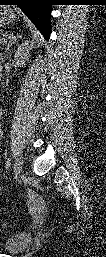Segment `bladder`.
<instances>
[{"label": "bladder", "mask_w": 106, "mask_h": 257, "mask_svg": "<svg viewBox=\"0 0 106 257\" xmlns=\"http://www.w3.org/2000/svg\"><path fill=\"white\" fill-rule=\"evenodd\" d=\"M31 242L32 235L30 233H18L6 240L4 248L10 254H19L23 252Z\"/></svg>", "instance_id": "obj_1"}]
</instances>
